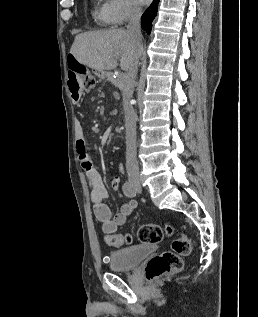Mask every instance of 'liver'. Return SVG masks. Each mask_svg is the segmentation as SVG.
<instances>
[{
    "instance_id": "6515ba94",
    "label": "liver",
    "mask_w": 258,
    "mask_h": 317,
    "mask_svg": "<svg viewBox=\"0 0 258 317\" xmlns=\"http://www.w3.org/2000/svg\"><path fill=\"white\" fill-rule=\"evenodd\" d=\"M137 48L130 32L122 28H111L80 32L75 36L70 52L81 64L106 72L116 68L118 56H121V68L128 70L134 56H139L140 50Z\"/></svg>"
}]
</instances>
